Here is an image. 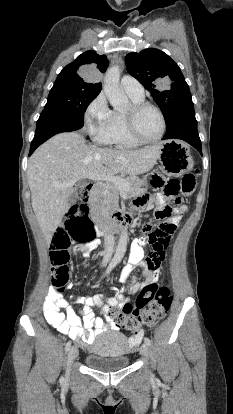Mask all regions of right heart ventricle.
<instances>
[{
  "mask_svg": "<svg viewBox=\"0 0 233 414\" xmlns=\"http://www.w3.org/2000/svg\"><path fill=\"white\" fill-rule=\"evenodd\" d=\"M128 96L130 97L133 103H139L144 101V96L136 97L129 94ZM123 114L124 113L121 111H111L110 119L107 125L105 143L119 149L137 148L141 145V143L133 139L131 135L128 133L125 126Z\"/></svg>",
  "mask_w": 233,
  "mask_h": 414,
  "instance_id": "e07e8e85",
  "label": "right heart ventricle"
}]
</instances>
